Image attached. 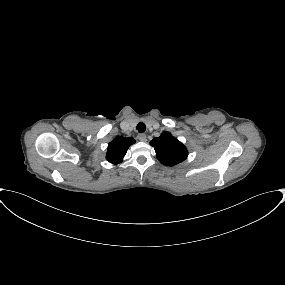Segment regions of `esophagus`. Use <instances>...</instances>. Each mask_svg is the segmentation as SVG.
Listing matches in <instances>:
<instances>
[{"label":"esophagus","mask_w":285,"mask_h":285,"mask_svg":"<svg viewBox=\"0 0 285 285\" xmlns=\"http://www.w3.org/2000/svg\"><path fill=\"white\" fill-rule=\"evenodd\" d=\"M137 138L140 140V141H142V142H144V141H146V135L144 134V133H140V134H138V136H137Z\"/></svg>","instance_id":"esophagus-1"}]
</instances>
